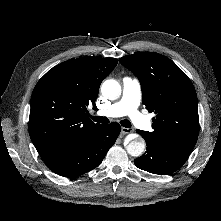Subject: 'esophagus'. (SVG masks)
I'll return each mask as SVG.
<instances>
[{
  "label": "esophagus",
  "instance_id": "obj_1",
  "mask_svg": "<svg viewBox=\"0 0 221 221\" xmlns=\"http://www.w3.org/2000/svg\"><path fill=\"white\" fill-rule=\"evenodd\" d=\"M133 130L131 128H126V127H122L121 128V133L122 134H129L131 133Z\"/></svg>",
  "mask_w": 221,
  "mask_h": 221
}]
</instances>
